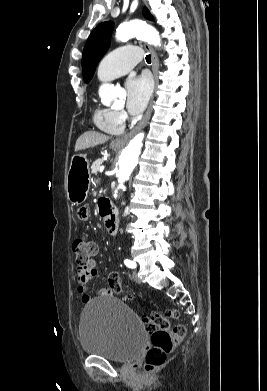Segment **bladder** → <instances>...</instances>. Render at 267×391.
<instances>
[{
	"label": "bladder",
	"mask_w": 267,
	"mask_h": 391,
	"mask_svg": "<svg viewBox=\"0 0 267 391\" xmlns=\"http://www.w3.org/2000/svg\"><path fill=\"white\" fill-rule=\"evenodd\" d=\"M79 335L84 353L119 363L137 358L146 342L143 324L116 297L95 300L83 310Z\"/></svg>",
	"instance_id": "obj_1"
}]
</instances>
